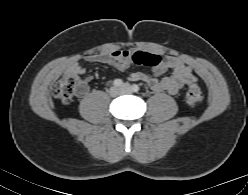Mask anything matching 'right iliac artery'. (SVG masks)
Masks as SVG:
<instances>
[{
  "instance_id": "1",
  "label": "right iliac artery",
  "mask_w": 248,
  "mask_h": 195,
  "mask_svg": "<svg viewBox=\"0 0 248 195\" xmlns=\"http://www.w3.org/2000/svg\"><path fill=\"white\" fill-rule=\"evenodd\" d=\"M124 83L121 79H115L113 81V85L116 86V87H119V86H122Z\"/></svg>"
}]
</instances>
